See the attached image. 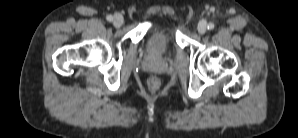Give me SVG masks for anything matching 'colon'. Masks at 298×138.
<instances>
[{
  "instance_id": "obj_1",
  "label": "colon",
  "mask_w": 298,
  "mask_h": 138,
  "mask_svg": "<svg viewBox=\"0 0 298 138\" xmlns=\"http://www.w3.org/2000/svg\"><path fill=\"white\" fill-rule=\"evenodd\" d=\"M148 85L151 89H157L160 85V81L158 78L156 77H151L149 80H148Z\"/></svg>"
}]
</instances>
